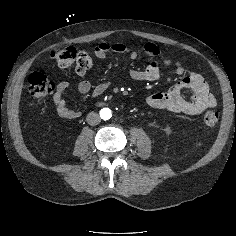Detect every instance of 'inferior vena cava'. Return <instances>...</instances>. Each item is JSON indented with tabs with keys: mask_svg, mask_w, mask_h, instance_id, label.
I'll list each match as a JSON object with an SVG mask.
<instances>
[{
	"mask_svg": "<svg viewBox=\"0 0 236 236\" xmlns=\"http://www.w3.org/2000/svg\"><path fill=\"white\" fill-rule=\"evenodd\" d=\"M86 121L89 125L94 126L100 123L101 118L98 113L90 112L87 115Z\"/></svg>",
	"mask_w": 236,
	"mask_h": 236,
	"instance_id": "1",
	"label": "inferior vena cava"
}]
</instances>
